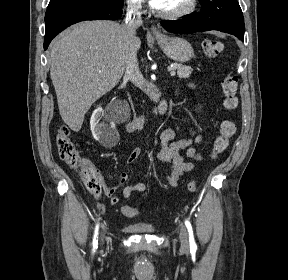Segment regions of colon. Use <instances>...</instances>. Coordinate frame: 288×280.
<instances>
[{
    "instance_id": "colon-1",
    "label": "colon",
    "mask_w": 288,
    "mask_h": 280,
    "mask_svg": "<svg viewBox=\"0 0 288 280\" xmlns=\"http://www.w3.org/2000/svg\"><path fill=\"white\" fill-rule=\"evenodd\" d=\"M202 50L207 58L216 59L222 54L224 46L220 41L207 39L202 43ZM222 90L224 93V108L227 111L234 110L238 105L237 76L232 74L227 75L222 81ZM235 130V124L231 120H224L221 123L219 135L214 141L213 149L210 154L212 159H215L227 149L229 140L235 133ZM56 145L61 160L69 167L79 170L87 190L94 195H98L103 188L98 177V170L89 160L80 155L71 138L70 130L66 126L60 128L56 137ZM187 187L191 192H195L198 189V185L194 180L190 181ZM121 212L127 217H136L140 214L138 209L127 205L122 207Z\"/></svg>"
}]
</instances>
